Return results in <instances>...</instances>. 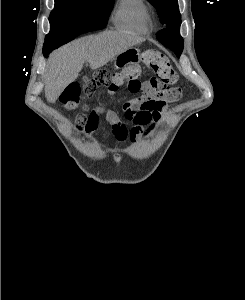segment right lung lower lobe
I'll list each match as a JSON object with an SVG mask.
<instances>
[{"instance_id":"1","label":"right lung lower lobe","mask_w":245,"mask_h":300,"mask_svg":"<svg viewBox=\"0 0 245 300\" xmlns=\"http://www.w3.org/2000/svg\"><path fill=\"white\" fill-rule=\"evenodd\" d=\"M105 27V24L96 20H91V21H87L82 25V32L86 33L89 31H95V30H100L103 29ZM52 50H54L53 48H43V54L44 57H48L49 53L52 52Z\"/></svg>"}]
</instances>
